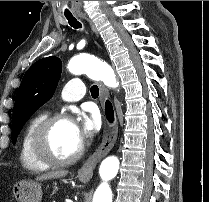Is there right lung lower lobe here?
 Returning a JSON list of instances; mask_svg holds the SVG:
<instances>
[{
  "mask_svg": "<svg viewBox=\"0 0 209 202\" xmlns=\"http://www.w3.org/2000/svg\"><path fill=\"white\" fill-rule=\"evenodd\" d=\"M106 115L110 121L113 120V109H112L110 102L108 101L106 102Z\"/></svg>",
  "mask_w": 209,
  "mask_h": 202,
  "instance_id": "right-lung-lower-lobe-1",
  "label": "right lung lower lobe"
}]
</instances>
